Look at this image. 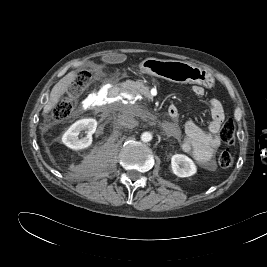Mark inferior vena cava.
<instances>
[{
	"mask_svg": "<svg viewBox=\"0 0 267 267\" xmlns=\"http://www.w3.org/2000/svg\"><path fill=\"white\" fill-rule=\"evenodd\" d=\"M118 121L121 126L128 128V129H132L138 125V121L135 120L133 116L128 112L123 113L119 117Z\"/></svg>",
	"mask_w": 267,
	"mask_h": 267,
	"instance_id": "inferior-vena-cava-1",
	"label": "inferior vena cava"
}]
</instances>
